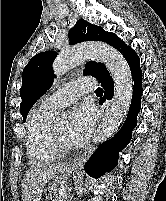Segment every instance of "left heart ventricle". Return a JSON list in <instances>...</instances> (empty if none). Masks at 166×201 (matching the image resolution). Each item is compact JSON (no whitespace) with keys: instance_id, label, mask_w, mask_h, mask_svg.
Listing matches in <instances>:
<instances>
[{"instance_id":"obj_1","label":"left heart ventricle","mask_w":166,"mask_h":201,"mask_svg":"<svg viewBox=\"0 0 166 201\" xmlns=\"http://www.w3.org/2000/svg\"><path fill=\"white\" fill-rule=\"evenodd\" d=\"M68 121L67 120H62V121H58L56 122L54 125L59 133V135L61 136V138L68 144H71V141L69 139L68 136Z\"/></svg>"}]
</instances>
